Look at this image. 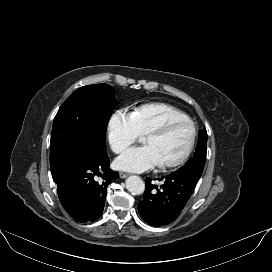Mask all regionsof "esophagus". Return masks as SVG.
Listing matches in <instances>:
<instances>
[{"mask_svg":"<svg viewBox=\"0 0 272 272\" xmlns=\"http://www.w3.org/2000/svg\"><path fill=\"white\" fill-rule=\"evenodd\" d=\"M120 177H121L122 179L127 178V177H128V174H127V173H124V172H120Z\"/></svg>","mask_w":272,"mask_h":272,"instance_id":"34e87169","label":"esophagus"}]
</instances>
